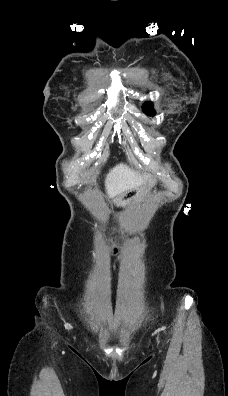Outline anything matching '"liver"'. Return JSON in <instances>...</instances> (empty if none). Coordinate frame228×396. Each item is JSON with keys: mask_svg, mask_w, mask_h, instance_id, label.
I'll list each match as a JSON object with an SVG mask.
<instances>
[{"mask_svg": "<svg viewBox=\"0 0 228 396\" xmlns=\"http://www.w3.org/2000/svg\"><path fill=\"white\" fill-rule=\"evenodd\" d=\"M148 178L147 174H139L124 164H119L108 173L105 186L109 198L140 186Z\"/></svg>", "mask_w": 228, "mask_h": 396, "instance_id": "liver-1", "label": "liver"}]
</instances>
